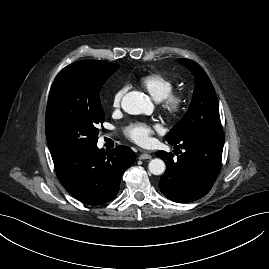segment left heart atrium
<instances>
[{"instance_id": "1", "label": "left heart atrium", "mask_w": 269, "mask_h": 269, "mask_svg": "<svg viewBox=\"0 0 269 269\" xmlns=\"http://www.w3.org/2000/svg\"><path fill=\"white\" fill-rule=\"evenodd\" d=\"M155 130H159L158 125H152L145 122H134L125 128V133L132 141L138 144H145L150 140V136Z\"/></svg>"}]
</instances>
